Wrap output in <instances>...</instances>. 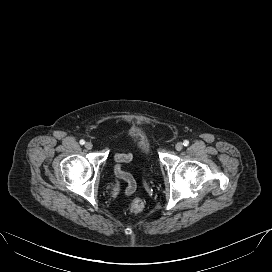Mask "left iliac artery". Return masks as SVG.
Instances as JSON below:
<instances>
[{"instance_id":"obj_1","label":"left iliac artery","mask_w":272,"mask_h":272,"mask_svg":"<svg viewBox=\"0 0 272 272\" xmlns=\"http://www.w3.org/2000/svg\"><path fill=\"white\" fill-rule=\"evenodd\" d=\"M183 145H184V146H188V145H189V141H188V140H184V141H183Z\"/></svg>"}]
</instances>
